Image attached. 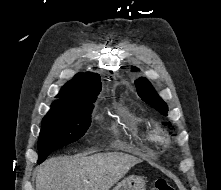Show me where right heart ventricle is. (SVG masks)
<instances>
[{"label": "right heart ventricle", "instance_id": "1", "mask_svg": "<svg viewBox=\"0 0 221 190\" xmlns=\"http://www.w3.org/2000/svg\"><path fill=\"white\" fill-rule=\"evenodd\" d=\"M111 130L115 135L127 134L143 147H147L151 142L146 126L140 123L129 109H123L119 113L117 120L111 125Z\"/></svg>", "mask_w": 221, "mask_h": 190}]
</instances>
